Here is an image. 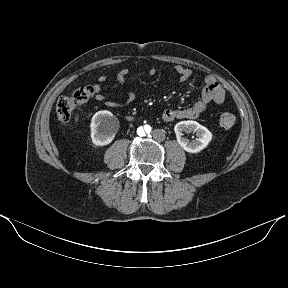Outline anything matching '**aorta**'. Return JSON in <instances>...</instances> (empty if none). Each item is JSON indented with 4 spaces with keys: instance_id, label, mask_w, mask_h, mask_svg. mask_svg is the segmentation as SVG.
<instances>
[{
    "instance_id": "762f6f07",
    "label": "aorta",
    "mask_w": 288,
    "mask_h": 288,
    "mask_svg": "<svg viewBox=\"0 0 288 288\" xmlns=\"http://www.w3.org/2000/svg\"><path fill=\"white\" fill-rule=\"evenodd\" d=\"M153 128L149 124L140 125L136 129V134L140 138H145L151 136Z\"/></svg>"
}]
</instances>
